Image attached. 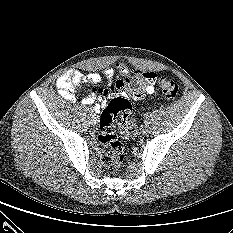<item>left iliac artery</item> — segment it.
<instances>
[{
    "mask_svg": "<svg viewBox=\"0 0 233 233\" xmlns=\"http://www.w3.org/2000/svg\"><path fill=\"white\" fill-rule=\"evenodd\" d=\"M150 116H151V114H149V113H146V114H145V117H146V118H150Z\"/></svg>",
    "mask_w": 233,
    "mask_h": 233,
    "instance_id": "1",
    "label": "left iliac artery"
}]
</instances>
